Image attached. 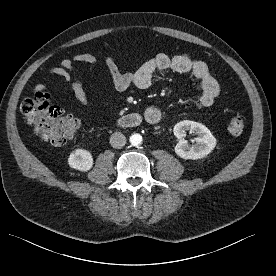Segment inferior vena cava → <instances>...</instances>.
Instances as JSON below:
<instances>
[{
    "instance_id": "602c4592",
    "label": "inferior vena cava",
    "mask_w": 276,
    "mask_h": 276,
    "mask_svg": "<svg viewBox=\"0 0 276 276\" xmlns=\"http://www.w3.org/2000/svg\"><path fill=\"white\" fill-rule=\"evenodd\" d=\"M110 144L113 148L120 149L126 144V137L121 132H115L110 137Z\"/></svg>"
}]
</instances>
